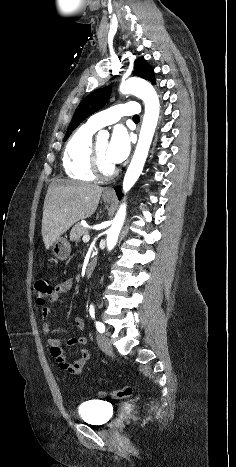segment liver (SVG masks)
Listing matches in <instances>:
<instances>
[{
  "label": "liver",
  "instance_id": "liver-1",
  "mask_svg": "<svg viewBox=\"0 0 236 467\" xmlns=\"http://www.w3.org/2000/svg\"><path fill=\"white\" fill-rule=\"evenodd\" d=\"M102 191L97 185L65 180H55L49 185L41 229L46 249L72 225L94 214Z\"/></svg>",
  "mask_w": 236,
  "mask_h": 467
}]
</instances>
